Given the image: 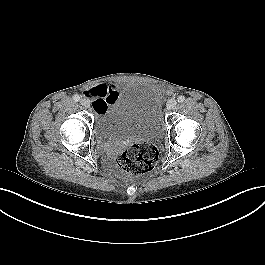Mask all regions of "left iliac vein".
I'll return each mask as SVG.
<instances>
[{
	"instance_id": "1",
	"label": "left iliac vein",
	"mask_w": 265,
	"mask_h": 265,
	"mask_svg": "<svg viewBox=\"0 0 265 265\" xmlns=\"http://www.w3.org/2000/svg\"><path fill=\"white\" fill-rule=\"evenodd\" d=\"M177 104V101L175 99H170L168 102H167V109L168 110H172L175 108Z\"/></svg>"
}]
</instances>
